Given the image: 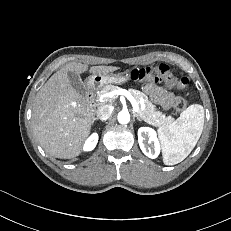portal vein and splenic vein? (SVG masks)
Listing matches in <instances>:
<instances>
[{
    "label": "portal vein and splenic vein",
    "instance_id": "18ae733b",
    "mask_svg": "<svg viewBox=\"0 0 231 231\" xmlns=\"http://www.w3.org/2000/svg\"><path fill=\"white\" fill-rule=\"evenodd\" d=\"M119 95L125 96L132 104L133 109L136 113L139 112V104L136 101V99L132 96V94L125 90V89H119V90H114L111 92H108L106 94H103L101 96H99V101L104 102L107 101L108 99H113Z\"/></svg>",
    "mask_w": 231,
    "mask_h": 231
}]
</instances>
